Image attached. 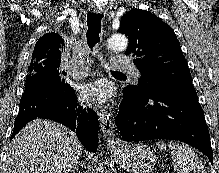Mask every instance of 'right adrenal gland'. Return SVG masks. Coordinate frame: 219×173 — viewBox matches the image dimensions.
I'll list each match as a JSON object with an SVG mask.
<instances>
[{
  "label": "right adrenal gland",
  "instance_id": "1",
  "mask_svg": "<svg viewBox=\"0 0 219 173\" xmlns=\"http://www.w3.org/2000/svg\"><path fill=\"white\" fill-rule=\"evenodd\" d=\"M71 172L72 173H80L79 166L78 165L74 166L73 169L71 170Z\"/></svg>",
  "mask_w": 219,
  "mask_h": 173
}]
</instances>
